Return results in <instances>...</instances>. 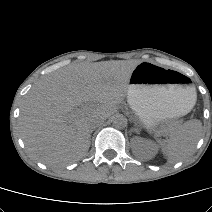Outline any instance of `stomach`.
Listing matches in <instances>:
<instances>
[{
    "label": "stomach",
    "mask_w": 212,
    "mask_h": 212,
    "mask_svg": "<svg viewBox=\"0 0 212 212\" xmlns=\"http://www.w3.org/2000/svg\"><path fill=\"white\" fill-rule=\"evenodd\" d=\"M184 75L150 62L132 71L128 103L147 129L168 118L188 113L196 101L195 88Z\"/></svg>",
    "instance_id": "stomach-1"
}]
</instances>
